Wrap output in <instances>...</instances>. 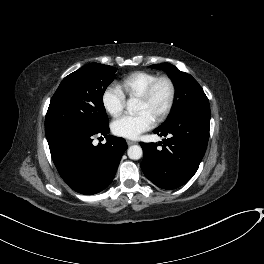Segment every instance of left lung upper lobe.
<instances>
[{"label": "left lung upper lobe", "mask_w": 264, "mask_h": 264, "mask_svg": "<svg viewBox=\"0 0 264 264\" xmlns=\"http://www.w3.org/2000/svg\"><path fill=\"white\" fill-rule=\"evenodd\" d=\"M152 68L165 70L175 87L172 113L159 127H163L195 109L210 108L209 101L198 82L188 73L178 70L169 63L151 65Z\"/></svg>", "instance_id": "obj_1"}]
</instances>
